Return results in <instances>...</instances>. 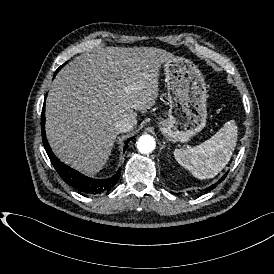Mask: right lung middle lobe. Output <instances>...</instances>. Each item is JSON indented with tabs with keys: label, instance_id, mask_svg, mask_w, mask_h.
I'll return each mask as SVG.
<instances>
[{
	"label": "right lung middle lobe",
	"instance_id": "obj_1",
	"mask_svg": "<svg viewBox=\"0 0 274 274\" xmlns=\"http://www.w3.org/2000/svg\"><path fill=\"white\" fill-rule=\"evenodd\" d=\"M65 64H63L62 66H60L59 68H58V70L57 71H59L63 66H64Z\"/></svg>",
	"mask_w": 274,
	"mask_h": 274
}]
</instances>
